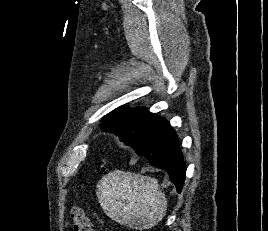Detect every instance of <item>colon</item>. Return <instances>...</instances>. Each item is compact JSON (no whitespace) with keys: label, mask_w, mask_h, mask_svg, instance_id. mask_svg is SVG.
Listing matches in <instances>:
<instances>
[{"label":"colon","mask_w":268,"mask_h":231,"mask_svg":"<svg viewBox=\"0 0 268 231\" xmlns=\"http://www.w3.org/2000/svg\"><path fill=\"white\" fill-rule=\"evenodd\" d=\"M71 220L74 231H94L90 218L80 207H73L71 211Z\"/></svg>","instance_id":"1"}]
</instances>
